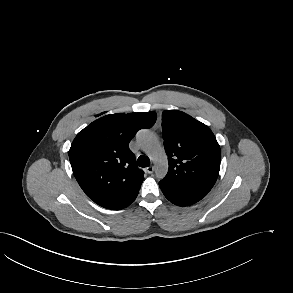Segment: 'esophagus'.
<instances>
[{"label":"esophagus","instance_id":"1","mask_svg":"<svg viewBox=\"0 0 293 293\" xmlns=\"http://www.w3.org/2000/svg\"><path fill=\"white\" fill-rule=\"evenodd\" d=\"M146 172H147L148 174H152V173L154 172V167H153V166H149V167H147V168H146Z\"/></svg>","mask_w":293,"mask_h":293}]
</instances>
